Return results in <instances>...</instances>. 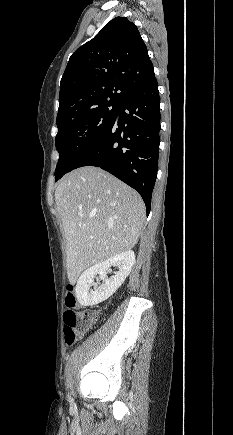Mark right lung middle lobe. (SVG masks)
Masks as SVG:
<instances>
[{
	"label": "right lung middle lobe",
	"mask_w": 233,
	"mask_h": 435,
	"mask_svg": "<svg viewBox=\"0 0 233 435\" xmlns=\"http://www.w3.org/2000/svg\"><path fill=\"white\" fill-rule=\"evenodd\" d=\"M117 111L118 106L102 105L57 122L58 133L55 143L60 157L55 170L56 181L71 171L105 135L115 120Z\"/></svg>",
	"instance_id": "right-lung-middle-lobe-1"
}]
</instances>
